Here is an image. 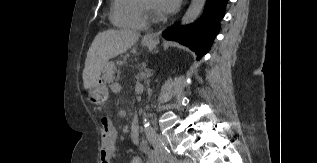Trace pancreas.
I'll use <instances>...</instances> for the list:
<instances>
[{"mask_svg":"<svg viewBox=\"0 0 317 163\" xmlns=\"http://www.w3.org/2000/svg\"><path fill=\"white\" fill-rule=\"evenodd\" d=\"M115 70H116V67L114 62H109L106 64V66L103 69V79L105 82L107 83L113 82L115 78L114 76Z\"/></svg>","mask_w":317,"mask_h":163,"instance_id":"pancreas-1","label":"pancreas"}]
</instances>
